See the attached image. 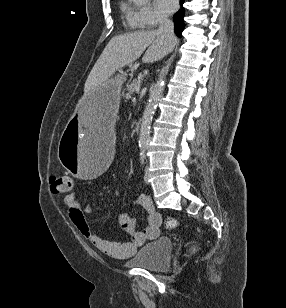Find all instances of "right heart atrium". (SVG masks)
<instances>
[{
  "instance_id": "right-heart-atrium-1",
  "label": "right heart atrium",
  "mask_w": 286,
  "mask_h": 308,
  "mask_svg": "<svg viewBox=\"0 0 286 308\" xmlns=\"http://www.w3.org/2000/svg\"><path fill=\"white\" fill-rule=\"evenodd\" d=\"M132 18L134 25L140 29H152L167 20L148 0L132 6Z\"/></svg>"
}]
</instances>
